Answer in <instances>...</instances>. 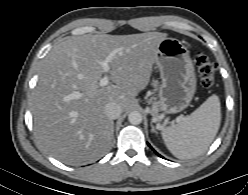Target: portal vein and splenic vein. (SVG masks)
Masks as SVG:
<instances>
[{"label":"portal vein and splenic vein","mask_w":248,"mask_h":195,"mask_svg":"<svg viewBox=\"0 0 248 195\" xmlns=\"http://www.w3.org/2000/svg\"><path fill=\"white\" fill-rule=\"evenodd\" d=\"M113 58V54H110L104 61H100L99 64L102 66V68L104 69V71L106 73L109 72L110 70V67H109V62L112 60ZM109 84V77L108 75H105L104 77H102L99 81V85L101 87H104L106 85Z\"/></svg>","instance_id":"obj_1"}]
</instances>
